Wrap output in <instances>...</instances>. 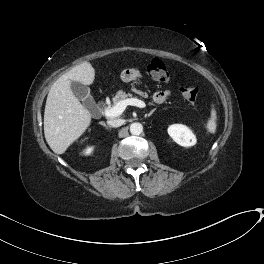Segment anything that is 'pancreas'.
Segmentation results:
<instances>
[{"instance_id":"1","label":"pancreas","mask_w":264,"mask_h":264,"mask_svg":"<svg viewBox=\"0 0 264 264\" xmlns=\"http://www.w3.org/2000/svg\"><path fill=\"white\" fill-rule=\"evenodd\" d=\"M129 98H132V94L130 93L127 94L123 90H119L116 93L115 97L113 98V103L117 104L118 102L125 100V99H129Z\"/></svg>"}]
</instances>
